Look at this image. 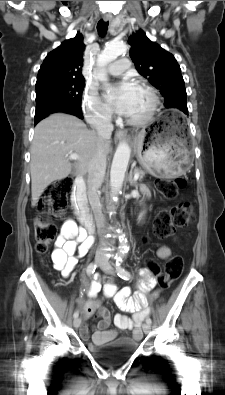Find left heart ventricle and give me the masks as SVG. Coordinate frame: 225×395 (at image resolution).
<instances>
[{
    "instance_id": "left-heart-ventricle-1",
    "label": "left heart ventricle",
    "mask_w": 225,
    "mask_h": 395,
    "mask_svg": "<svg viewBox=\"0 0 225 395\" xmlns=\"http://www.w3.org/2000/svg\"><path fill=\"white\" fill-rule=\"evenodd\" d=\"M150 104L151 99L148 93L145 90L139 88L137 98L129 118L138 119L143 117L147 113Z\"/></svg>"
}]
</instances>
